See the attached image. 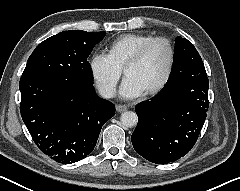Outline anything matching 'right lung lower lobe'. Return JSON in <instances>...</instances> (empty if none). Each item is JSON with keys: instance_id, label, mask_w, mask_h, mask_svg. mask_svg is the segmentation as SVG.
<instances>
[{"instance_id": "obj_1", "label": "right lung lower lobe", "mask_w": 240, "mask_h": 191, "mask_svg": "<svg viewBox=\"0 0 240 191\" xmlns=\"http://www.w3.org/2000/svg\"><path fill=\"white\" fill-rule=\"evenodd\" d=\"M21 117L38 148L51 159L71 164L89 155L115 107L93 86L63 77H21Z\"/></svg>"}]
</instances>
